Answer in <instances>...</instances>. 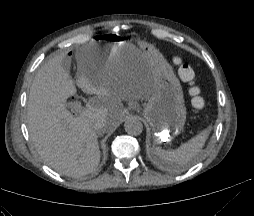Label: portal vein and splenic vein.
<instances>
[{
    "label": "portal vein and splenic vein",
    "mask_w": 254,
    "mask_h": 216,
    "mask_svg": "<svg viewBox=\"0 0 254 216\" xmlns=\"http://www.w3.org/2000/svg\"><path fill=\"white\" fill-rule=\"evenodd\" d=\"M71 107L74 109L73 112L75 113V116L79 115L83 110V107L80 101H75L71 103Z\"/></svg>",
    "instance_id": "1"
}]
</instances>
